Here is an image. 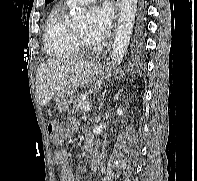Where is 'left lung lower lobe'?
<instances>
[{"mask_svg":"<svg viewBox=\"0 0 197 181\" xmlns=\"http://www.w3.org/2000/svg\"><path fill=\"white\" fill-rule=\"evenodd\" d=\"M143 47H144L143 28L140 27L138 29L137 36H136L134 43H133V53L135 55L140 54L143 51Z\"/></svg>","mask_w":197,"mask_h":181,"instance_id":"left-lung-lower-lobe-1","label":"left lung lower lobe"}]
</instances>
